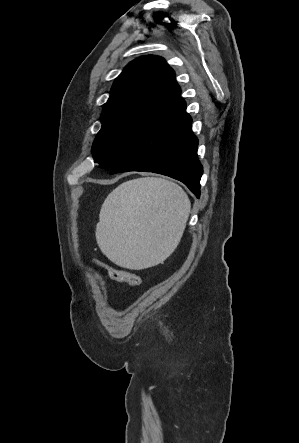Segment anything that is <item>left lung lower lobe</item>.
<instances>
[{"label":"left lung lower lobe","mask_w":299,"mask_h":443,"mask_svg":"<svg viewBox=\"0 0 299 443\" xmlns=\"http://www.w3.org/2000/svg\"><path fill=\"white\" fill-rule=\"evenodd\" d=\"M186 103L179 98L151 125L111 168V174L144 171L183 182L197 198L203 167L197 157L198 139L191 129Z\"/></svg>","instance_id":"0a47b994"}]
</instances>
